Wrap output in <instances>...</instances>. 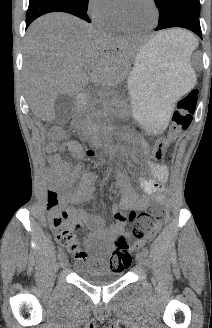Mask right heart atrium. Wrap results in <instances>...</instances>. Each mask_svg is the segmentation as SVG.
Instances as JSON below:
<instances>
[{"mask_svg":"<svg viewBox=\"0 0 212 328\" xmlns=\"http://www.w3.org/2000/svg\"><path fill=\"white\" fill-rule=\"evenodd\" d=\"M114 10L113 0H87V14L96 23L103 21L110 14L114 13Z\"/></svg>","mask_w":212,"mask_h":328,"instance_id":"right-heart-atrium-1","label":"right heart atrium"}]
</instances>
